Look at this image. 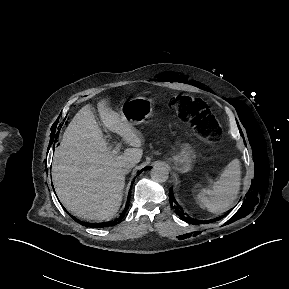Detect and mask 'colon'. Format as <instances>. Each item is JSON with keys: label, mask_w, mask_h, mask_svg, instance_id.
Returning a JSON list of instances; mask_svg holds the SVG:
<instances>
[{"label": "colon", "mask_w": 289, "mask_h": 289, "mask_svg": "<svg viewBox=\"0 0 289 289\" xmlns=\"http://www.w3.org/2000/svg\"><path fill=\"white\" fill-rule=\"evenodd\" d=\"M173 103L178 113L191 124L199 136L209 141L217 139L218 131L213 116L202 99L176 96Z\"/></svg>", "instance_id": "5ec220e1"}]
</instances>
